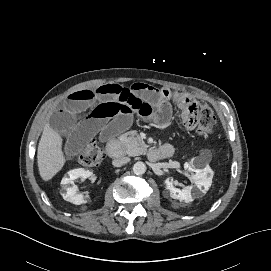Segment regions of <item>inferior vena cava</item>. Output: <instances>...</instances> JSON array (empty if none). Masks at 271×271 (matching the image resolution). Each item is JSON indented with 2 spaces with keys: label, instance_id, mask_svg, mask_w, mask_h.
I'll return each instance as SVG.
<instances>
[{
  "label": "inferior vena cava",
  "instance_id": "inferior-vena-cava-1",
  "mask_svg": "<svg viewBox=\"0 0 271 271\" xmlns=\"http://www.w3.org/2000/svg\"><path fill=\"white\" fill-rule=\"evenodd\" d=\"M130 161V158L129 157H121V158H118V159H114L112 164L114 167H120L126 163H128Z\"/></svg>",
  "mask_w": 271,
  "mask_h": 271
}]
</instances>
